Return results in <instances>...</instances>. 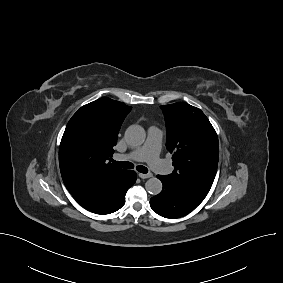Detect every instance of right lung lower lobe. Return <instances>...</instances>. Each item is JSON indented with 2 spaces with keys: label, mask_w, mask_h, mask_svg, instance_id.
Returning <instances> with one entry per match:
<instances>
[{
  "label": "right lung lower lobe",
  "mask_w": 283,
  "mask_h": 283,
  "mask_svg": "<svg viewBox=\"0 0 283 283\" xmlns=\"http://www.w3.org/2000/svg\"><path fill=\"white\" fill-rule=\"evenodd\" d=\"M135 182L136 173L127 170L119 179L109 183L90 202L80 205L97 214L115 212L125 204V194Z\"/></svg>",
  "instance_id": "obj_1"
}]
</instances>
